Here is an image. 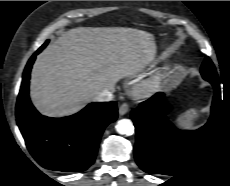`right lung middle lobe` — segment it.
Wrapping results in <instances>:
<instances>
[{
	"instance_id": "dd1d6c3e",
	"label": "right lung middle lobe",
	"mask_w": 230,
	"mask_h": 186,
	"mask_svg": "<svg viewBox=\"0 0 230 186\" xmlns=\"http://www.w3.org/2000/svg\"><path fill=\"white\" fill-rule=\"evenodd\" d=\"M47 44H48V40L40 47V51L44 49Z\"/></svg>"
}]
</instances>
